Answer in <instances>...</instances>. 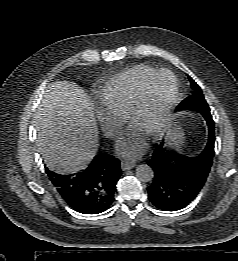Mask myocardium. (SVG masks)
I'll return each instance as SVG.
<instances>
[{
	"mask_svg": "<svg viewBox=\"0 0 238 261\" xmlns=\"http://www.w3.org/2000/svg\"><path fill=\"white\" fill-rule=\"evenodd\" d=\"M161 74H169L173 78L174 86H173V90L163 108V111H162L160 117L158 118V120L156 121L154 126L149 131V133L151 135L159 134L167 126V124L171 118L173 109L175 107L176 101H177V97H178V93H179V80H178V77L176 76V74L172 70L167 69V68H161V69H157V70L153 71L151 74H149L142 81V83L138 89L137 95L135 97V100L128 113V120L131 123V122H133L135 117L137 115H139L142 112V110L144 109V106L146 103L147 88H148L149 84L151 83V81L154 78H156L157 76H159Z\"/></svg>",
	"mask_w": 238,
	"mask_h": 261,
	"instance_id": "myocardium-1",
	"label": "myocardium"
}]
</instances>
